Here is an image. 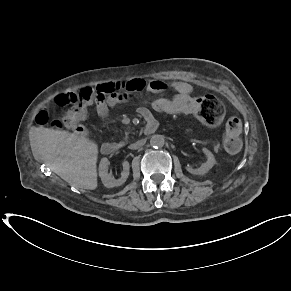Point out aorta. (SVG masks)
Returning <instances> with one entry per match:
<instances>
[{
    "instance_id": "aorta-1",
    "label": "aorta",
    "mask_w": 291,
    "mask_h": 291,
    "mask_svg": "<svg viewBox=\"0 0 291 291\" xmlns=\"http://www.w3.org/2000/svg\"><path fill=\"white\" fill-rule=\"evenodd\" d=\"M165 144V139L163 135L155 134L150 139V145L152 147H162Z\"/></svg>"
}]
</instances>
